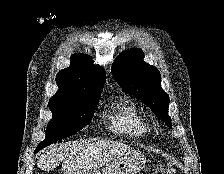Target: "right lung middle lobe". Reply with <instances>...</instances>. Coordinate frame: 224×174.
Masks as SVG:
<instances>
[{
	"mask_svg": "<svg viewBox=\"0 0 224 174\" xmlns=\"http://www.w3.org/2000/svg\"><path fill=\"white\" fill-rule=\"evenodd\" d=\"M98 98H88L69 103H49L52 119L46 129V137L37 151L60 140L77 133L90 123Z\"/></svg>",
	"mask_w": 224,
	"mask_h": 174,
	"instance_id": "dd1d6c3e",
	"label": "right lung middle lobe"
}]
</instances>
